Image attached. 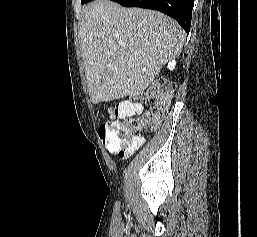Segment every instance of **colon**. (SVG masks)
<instances>
[{"label":"colon","instance_id":"colon-1","mask_svg":"<svg viewBox=\"0 0 257 237\" xmlns=\"http://www.w3.org/2000/svg\"><path fill=\"white\" fill-rule=\"evenodd\" d=\"M173 91V84L166 81L157 82L142 95L149 103V107L141 117L126 119L115 117L112 123L106 122L100 125L98 134L105 147L108 145L122 147L131 141L130 138L135 132L155 129L169 107Z\"/></svg>","mask_w":257,"mask_h":237}]
</instances>
